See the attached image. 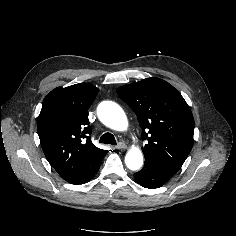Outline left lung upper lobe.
<instances>
[{
    "instance_id": "1",
    "label": "left lung upper lobe",
    "mask_w": 236,
    "mask_h": 236,
    "mask_svg": "<svg viewBox=\"0 0 236 236\" xmlns=\"http://www.w3.org/2000/svg\"><path fill=\"white\" fill-rule=\"evenodd\" d=\"M137 115L145 159L177 173L193 146L194 119L182 95L168 82L147 78L117 89Z\"/></svg>"
}]
</instances>
